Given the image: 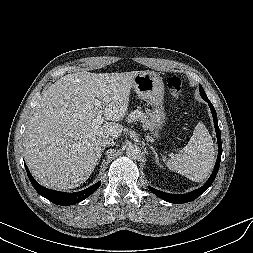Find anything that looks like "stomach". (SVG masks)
Listing matches in <instances>:
<instances>
[{
    "mask_svg": "<svg viewBox=\"0 0 253 253\" xmlns=\"http://www.w3.org/2000/svg\"><path fill=\"white\" fill-rule=\"evenodd\" d=\"M132 86L139 98L153 107L149 114L150 130L156 137L159 136V130L166 121L162 78L155 72L141 71L135 76Z\"/></svg>",
    "mask_w": 253,
    "mask_h": 253,
    "instance_id": "obj_1",
    "label": "stomach"
}]
</instances>
